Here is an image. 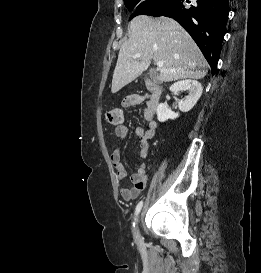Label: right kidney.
<instances>
[{"label": "right kidney", "mask_w": 261, "mask_h": 273, "mask_svg": "<svg viewBox=\"0 0 261 273\" xmlns=\"http://www.w3.org/2000/svg\"><path fill=\"white\" fill-rule=\"evenodd\" d=\"M189 91V95L185 97L184 100L179 101L178 107L179 110L182 112H188L190 111L199 98L202 95V85L200 82L196 80H183L179 81L177 83H174L170 87V91L174 94H178L179 92L182 91ZM179 117V113L173 112L171 109L168 108L167 104L165 103H160L157 107V118L159 122H165L168 119H176Z\"/></svg>", "instance_id": "right-kidney-1"}]
</instances>
